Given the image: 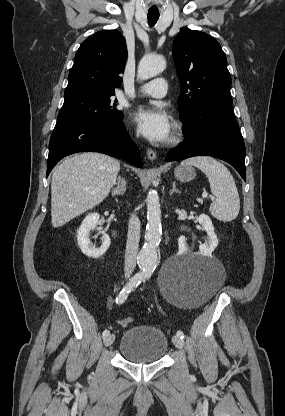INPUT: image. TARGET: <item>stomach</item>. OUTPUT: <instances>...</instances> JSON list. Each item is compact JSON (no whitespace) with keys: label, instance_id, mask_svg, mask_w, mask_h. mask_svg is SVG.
Listing matches in <instances>:
<instances>
[{"label":"stomach","instance_id":"0dacf381","mask_svg":"<svg viewBox=\"0 0 285 416\" xmlns=\"http://www.w3.org/2000/svg\"><path fill=\"white\" fill-rule=\"evenodd\" d=\"M176 180L180 182H190L196 176L195 170L191 166H178L174 172Z\"/></svg>","mask_w":285,"mask_h":416}]
</instances>
